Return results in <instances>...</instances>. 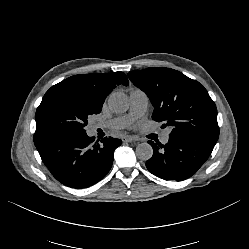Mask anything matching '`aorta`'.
<instances>
[{"instance_id":"762f6f07","label":"aorta","mask_w":249,"mask_h":249,"mask_svg":"<svg viewBox=\"0 0 249 249\" xmlns=\"http://www.w3.org/2000/svg\"><path fill=\"white\" fill-rule=\"evenodd\" d=\"M109 109L114 113H123L128 110V98L122 92L112 93L108 99ZM153 155L152 146L148 143H141L136 147V156L138 159L147 161Z\"/></svg>"}]
</instances>
